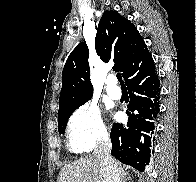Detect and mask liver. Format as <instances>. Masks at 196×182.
I'll return each mask as SVG.
<instances>
[{
	"label": "liver",
	"mask_w": 196,
	"mask_h": 182,
	"mask_svg": "<svg viewBox=\"0 0 196 182\" xmlns=\"http://www.w3.org/2000/svg\"><path fill=\"white\" fill-rule=\"evenodd\" d=\"M116 163L121 177L128 176L129 179L127 168L122 167L118 162ZM57 182H103L99 159L93 155L65 165L60 170Z\"/></svg>",
	"instance_id": "6515ba94"
}]
</instances>
